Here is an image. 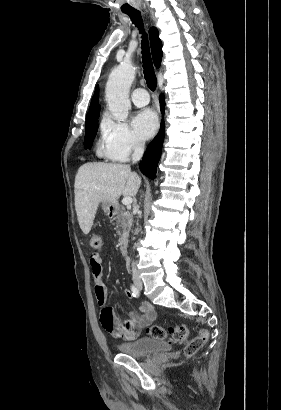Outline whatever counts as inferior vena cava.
<instances>
[{"label":"inferior vena cava","mask_w":281,"mask_h":410,"mask_svg":"<svg viewBox=\"0 0 281 410\" xmlns=\"http://www.w3.org/2000/svg\"><path fill=\"white\" fill-rule=\"evenodd\" d=\"M143 152H144V142H142V141H136V142H135V146H134V153H133V155H132V162H133V163L138 162V161L141 159V157H142V155H143ZM132 279H133V281H135V282H137V281L140 280L139 274H138V272H137V269H136V267H135V263H134V262H132Z\"/></svg>","instance_id":"1"}]
</instances>
